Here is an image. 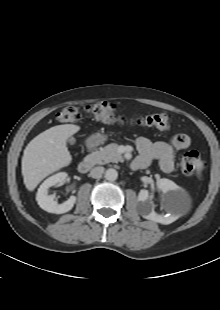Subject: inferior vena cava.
<instances>
[{
	"instance_id": "1",
	"label": "inferior vena cava",
	"mask_w": 220,
	"mask_h": 310,
	"mask_svg": "<svg viewBox=\"0 0 220 310\" xmlns=\"http://www.w3.org/2000/svg\"><path fill=\"white\" fill-rule=\"evenodd\" d=\"M104 167L102 166H97V167H94L91 172H90V176L92 178H100L102 176V174L104 173Z\"/></svg>"
}]
</instances>
